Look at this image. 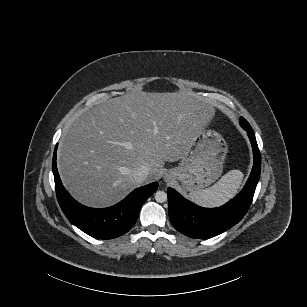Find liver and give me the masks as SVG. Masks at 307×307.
Wrapping results in <instances>:
<instances>
[{"label":"liver","mask_w":307,"mask_h":307,"mask_svg":"<svg viewBox=\"0 0 307 307\" xmlns=\"http://www.w3.org/2000/svg\"><path fill=\"white\" fill-rule=\"evenodd\" d=\"M215 114L209 98L184 92H131L78 116L62 138L58 167L71 195L84 205L108 207L138 183L133 173L150 168L158 179L164 161H178Z\"/></svg>","instance_id":"liver-1"}]
</instances>
